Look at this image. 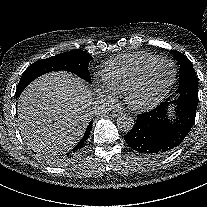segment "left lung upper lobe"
<instances>
[{"mask_svg":"<svg viewBox=\"0 0 207 207\" xmlns=\"http://www.w3.org/2000/svg\"><path fill=\"white\" fill-rule=\"evenodd\" d=\"M171 54L180 63L179 97L176 101L197 106L198 80L192 63L185 55L178 51L172 50Z\"/></svg>","mask_w":207,"mask_h":207,"instance_id":"left-lung-upper-lobe-1","label":"left lung upper lobe"}]
</instances>
